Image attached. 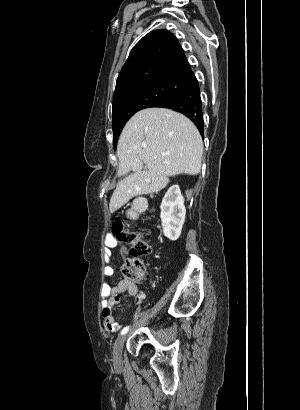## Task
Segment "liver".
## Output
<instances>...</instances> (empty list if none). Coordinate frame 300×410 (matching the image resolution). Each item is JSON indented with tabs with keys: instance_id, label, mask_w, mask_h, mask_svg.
Returning a JSON list of instances; mask_svg holds the SVG:
<instances>
[{
	"instance_id": "1",
	"label": "liver",
	"mask_w": 300,
	"mask_h": 410,
	"mask_svg": "<svg viewBox=\"0 0 300 410\" xmlns=\"http://www.w3.org/2000/svg\"><path fill=\"white\" fill-rule=\"evenodd\" d=\"M202 153L200 133L186 116L166 108L139 111L126 123L117 145L119 175L134 173L118 183L110 212L135 196L162 190L169 176L197 175Z\"/></svg>"
}]
</instances>
